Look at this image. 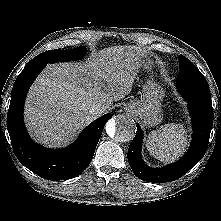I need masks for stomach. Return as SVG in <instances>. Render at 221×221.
Returning a JSON list of instances; mask_svg holds the SVG:
<instances>
[{"label":"stomach","instance_id":"obj_1","mask_svg":"<svg viewBox=\"0 0 221 221\" xmlns=\"http://www.w3.org/2000/svg\"><path fill=\"white\" fill-rule=\"evenodd\" d=\"M143 70H151V61L149 58H143ZM164 97V89L155 82L148 80L143 86L141 99L130 101L124 109L129 116L141 120L145 126H155L163 119L161 101Z\"/></svg>","mask_w":221,"mask_h":221}]
</instances>
